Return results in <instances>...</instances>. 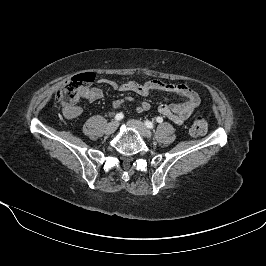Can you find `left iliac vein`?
<instances>
[{
  "mask_svg": "<svg viewBox=\"0 0 266 266\" xmlns=\"http://www.w3.org/2000/svg\"><path fill=\"white\" fill-rule=\"evenodd\" d=\"M128 125L130 127L135 128L143 137H146V138L152 137L151 131L141 121L129 120Z\"/></svg>",
  "mask_w": 266,
  "mask_h": 266,
  "instance_id": "obj_1",
  "label": "left iliac vein"
}]
</instances>
